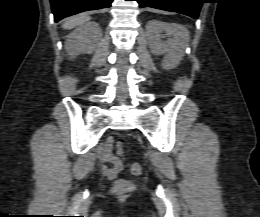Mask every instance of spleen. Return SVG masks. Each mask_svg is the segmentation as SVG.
<instances>
[{"mask_svg":"<svg viewBox=\"0 0 260 217\" xmlns=\"http://www.w3.org/2000/svg\"><path fill=\"white\" fill-rule=\"evenodd\" d=\"M181 33H183V34H184V31H183V30H181Z\"/></svg>","mask_w":260,"mask_h":217,"instance_id":"1","label":"spleen"}]
</instances>
